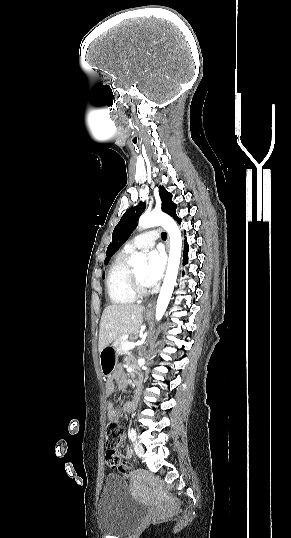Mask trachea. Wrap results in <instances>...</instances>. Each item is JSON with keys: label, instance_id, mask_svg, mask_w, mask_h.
<instances>
[{"label": "trachea", "instance_id": "3493384b", "mask_svg": "<svg viewBox=\"0 0 291 538\" xmlns=\"http://www.w3.org/2000/svg\"><path fill=\"white\" fill-rule=\"evenodd\" d=\"M166 237H167L166 233H165V232H162V233H161V238H162L163 240H166Z\"/></svg>", "mask_w": 291, "mask_h": 538}]
</instances>
